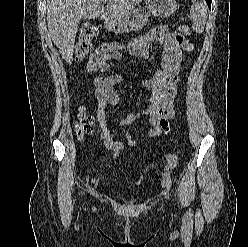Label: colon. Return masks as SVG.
<instances>
[{
	"mask_svg": "<svg viewBox=\"0 0 248 247\" xmlns=\"http://www.w3.org/2000/svg\"><path fill=\"white\" fill-rule=\"evenodd\" d=\"M179 31L183 35H189L191 29L187 25H180ZM99 28L96 24L86 23L82 26L79 38L75 45V56L77 60H82L86 57L92 50V40L98 35ZM152 36L154 38H160L166 33V28L164 26H159L152 31ZM123 46L116 43H103L95 52L91 55L88 64L87 70L90 73L95 72L101 63V61L108 55L110 52L120 49ZM92 122L93 119L91 116L85 114L82 110L78 113L77 119L74 122V128L76 132L77 139L82 141L86 136L92 133Z\"/></svg>",
	"mask_w": 248,
	"mask_h": 247,
	"instance_id": "colon-1",
	"label": "colon"
}]
</instances>
